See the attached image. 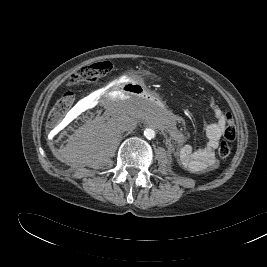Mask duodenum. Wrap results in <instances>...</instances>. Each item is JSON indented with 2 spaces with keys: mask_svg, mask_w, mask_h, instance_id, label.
Wrapping results in <instances>:
<instances>
[{
  "mask_svg": "<svg viewBox=\"0 0 267 267\" xmlns=\"http://www.w3.org/2000/svg\"><path fill=\"white\" fill-rule=\"evenodd\" d=\"M112 90L120 94L132 93L134 96H142L155 109L167 110L165 103H162L150 91H145L144 86L141 83H136L134 80H120L112 85Z\"/></svg>",
  "mask_w": 267,
  "mask_h": 267,
  "instance_id": "1",
  "label": "duodenum"
}]
</instances>
